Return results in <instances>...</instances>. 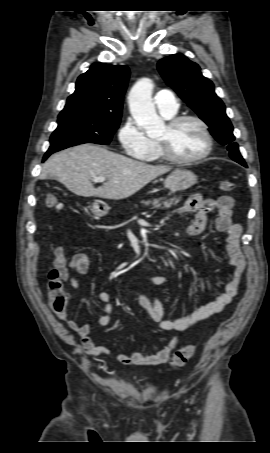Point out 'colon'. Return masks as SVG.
Segmentation results:
<instances>
[{
  "instance_id": "colon-1",
  "label": "colon",
  "mask_w": 270,
  "mask_h": 453,
  "mask_svg": "<svg viewBox=\"0 0 270 453\" xmlns=\"http://www.w3.org/2000/svg\"><path fill=\"white\" fill-rule=\"evenodd\" d=\"M220 189L224 192H231L235 189V183L229 180H223L220 182ZM45 202L49 208H54L56 210H61L63 208L62 203L51 193L46 195ZM48 294L49 304L53 312L57 315L67 313L69 307V297L64 289L59 272L55 269L51 270L49 273ZM194 353V345H187L177 350L170 358L171 366L177 368L185 365L193 357Z\"/></svg>"
}]
</instances>
